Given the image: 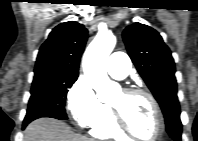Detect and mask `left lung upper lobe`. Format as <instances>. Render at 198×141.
<instances>
[{"label": "left lung upper lobe", "instance_id": "left-lung-upper-lobe-1", "mask_svg": "<svg viewBox=\"0 0 198 141\" xmlns=\"http://www.w3.org/2000/svg\"><path fill=\"white\" fill-rule=\"evenodd\" d=\"M129 56L158 101L169 136L181 137L175 65L169 48L153 28L134 23L123 32Z\"/></svg>", "mask_w": 198, "mask_h": 141}]
</instances>
